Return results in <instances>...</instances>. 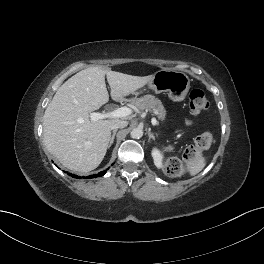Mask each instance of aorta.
Segmentation results:
<instances>
[{
    "mask_svg": "<svg viewBox=\"0 0 264 264\" xmlns=\"http://www.w3.org/2000/svg\"><path fill=\"white\" fill-rule=\"evenodd\" d=\"M131 137L133 139H139L143 136V130L141 128H134L131 133H130Z\"/></svg>",
    "mask_w": 264,
    "mask_h": 264,
    "instance_id": "aorta-1",
    "label": "aorta"
}]
</instances>
